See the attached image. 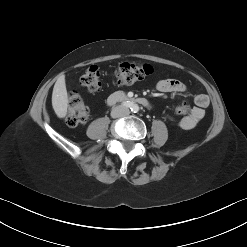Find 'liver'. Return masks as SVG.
<instances>
[{
	"label": "liver",
	"mask_w": 247,
	"mask_h": 247,
	"mask_svg": "<svg viewBox=\"0 0 247 247\" xmlns=\"http://www.w3.org/2000/svg\"><path fill=\"white\" fill-rule=\"evenodd\" d=\"M52 106L59 118H64L68 108V94L65 83V76H60L53 88Z\"/></svg>",
	"instance_id": "liver-1"
}]
</instances>
